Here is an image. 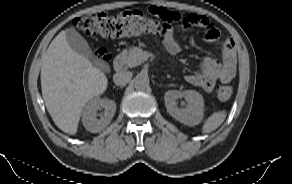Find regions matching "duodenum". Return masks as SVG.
Instances as JSON below:
<instances>
[{
    "mask_svg": "<svg viewBox=\"0 0 292 184\" xmlns=\"http://www.w3.org/2000/svg\"><path fill=\"white\" fill-rule=\"evenodd\" d=\"M114 68L117 71H121L124 68V56L122 54L117 55L113 61Z\"/></svg>",
    "mask_w": 292,
    "mask_h": 184,
    "instance_id": "obj_1",
    "label": "duodenum"
}]
</instances>
